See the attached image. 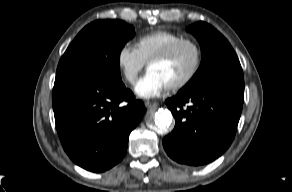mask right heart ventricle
Returning <instances> with one entry per match:
<instances>
[{
	"mask_svg": "<svg viewBox=\"0 0 292 192\" xmlns=\"http://www.w3.org/2000/svg\"><path fill=\"white\" fill-rule=\"evenodd\" d=\"M182 38L181 34L170 30H155L140 36L136 41L135 48L143 61L147 63L152 57Z\"/></svg>",
	"mask_w": 292,
	"mask_h": 192,
	"instance_id": "1",
	"label": "right heart ventricle"
}]
</instances>
